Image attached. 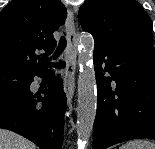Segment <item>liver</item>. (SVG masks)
<instances>
[{"label": "liver", "mask_w": 155, "mask_h": 149, "mask_svg": "<svg viewBox=\"0 0 155 149\" xmlns=\"http://www.w3.org/2000/svg\"><path fill=\"white\" fill-rule=\"evenodd\" d=\"M0 149H36V146L12 131L0 129Z\"/></svg>", "instance_id": "6515ba94"}]
</instances>
